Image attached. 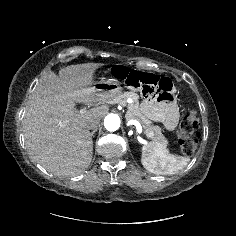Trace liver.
Listing matches in <instances>:
<instances>
[{
  "label": "liver",
  "instance_id": "1",
  "mask_svg": "<svg viewBox=\"0 0 236 236\" xmlns=\"http://www.w3.org/2000/svg\"><path fill=\"white\" fill-rule=\"evenodd\" d=\"M103 65H70L59 70V76L47 71L30 96L22 122L26 147L31 157L54 175L74 176L91 163L93 141L88 122L100 121L109 109L102 105L79 113L75 103L106 101L91 87L95 71Z\"/></svg>",
  "mask_w": 236,
  "mask_h": 236
}]
</instances>
